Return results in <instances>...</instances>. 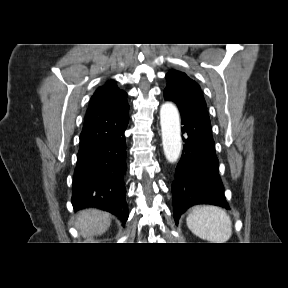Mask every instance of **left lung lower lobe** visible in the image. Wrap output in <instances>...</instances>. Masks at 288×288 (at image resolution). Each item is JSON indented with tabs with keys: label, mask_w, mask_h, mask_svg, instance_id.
<instances>
[{
	"label": "left lung lower lobe",
	"mask_w": 288,
	"mask_h": 288,
	"mask_svg": "<svg viewBox=\"0 0 288 288\" xmlns=\"http://www.w3.org/2000/svg\"><path fill=\"white\" fill-rule=\"evenodd\" d=\"M179 110L185 145L172 183L176 223L181 214L193 205L212 204L229 208L219 177V162L207 111L187 107H179Z\"/></svg>",
	"instance_id": "left-lung-lower-lobe-1"
}]
</instances>
